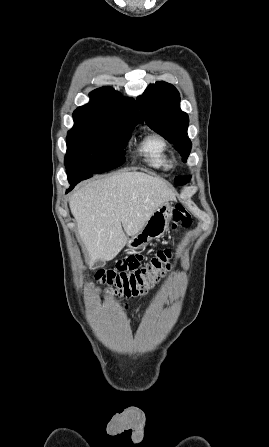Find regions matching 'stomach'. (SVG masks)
Listing matches in <instances>:
<instances>
[{"label":"stomach","mask_w":269,"mask_h":447,"mask_svg":"<svg viewBox=\"0 0 269 447\" xmlns=\"http://www.w3.org/2000/svg\"><path fill=\"white\" fill-rule=\"evenodd\" d=\"M171 216L172 206H170L169 202H164V204H161L160 208H157L154 214L150 216L142 229L128 239L127 247H129V249H141V247L147 245L148 241H151V239H158V237H161L168 227Z\"/></svg>","instance_id":"stomach-1"}]
</instances>
